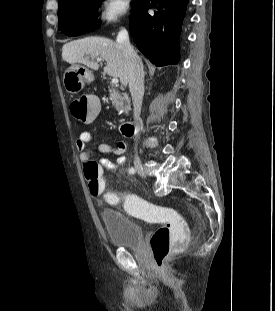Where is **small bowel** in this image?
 <instances>
[{"label": "small bowel", "instance_id": "1", "mask_svg": "<svg viewBox=\"0 0 275 311\" xmlns=\"http://www.w3.org/2000/svg\"><path fill=\"white\" fill-rule=\"evenodd\" d=\"M98 140V137L90 132V131H82L79 133L76 139V148L79 151L80 161L85 165L92 161L90 151L88 150V144L95 142ZM97 149L102 154H112L116 156L114 160L108 158H101L97 162V164L105 169L114 170L118 168L120 165L124 164L127 161L125 156V152L127 149V145L124 141H118L114 147L110 146L107 143L100 142L97 146Z\"/></svg>", "mask_w": 275, "mask_h": 311}]
</instances>
